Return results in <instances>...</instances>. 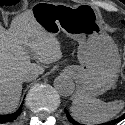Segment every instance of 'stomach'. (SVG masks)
Segmentation results:
<instances>
[{
  "mask_svg": "<svg viewBox=\"0 0 125 125\" xmlns=\"http://www.w3.org/2000/svg\"><path fill=\"white\" fill-rule=\"evenodd\" d=\"M32 15L46 33L56 36L63 31L79 43L80 65L65 69L75 79L78 91L95 97L116 84L121 67L118 48L93 10L91 13L79 5L38 3Z\"/></svg>",
  "mask_w": 125,
  "mask_h": 125,
  "instance_id": "1",
  "label": "stomach"
}]
</instances>
